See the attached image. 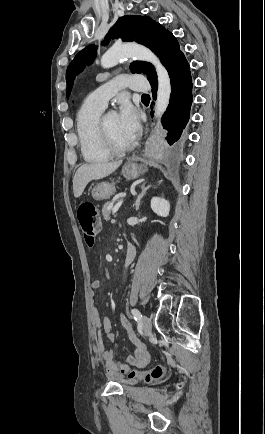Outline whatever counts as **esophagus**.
Segmentation results:
<instances>
[{
	"mask_svg": "<svg viewBox=\"0 0 265 434\" xmlns=\"http://www.w3.org/2000/svg\"><path fill=\"white\" fill-rule=\"evenodd\" d=\"M148 132H149V126H148V124H147V125H146V129H145V136L148 135Z\"/></svg>",
	"mask_w": 265,
	"mask_h": 434,
	"instance_id": "34e87169",
	"label": "esophagus"
}]
</instances>
